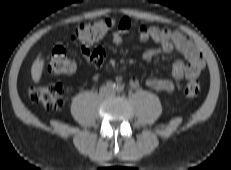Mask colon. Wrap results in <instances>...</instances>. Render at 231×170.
<instances>
[{
	"label": "colon",
	"mask_w": 231,
	"mask_h": 170,
	"mask_svg": "<svg viewBox=\"0 0 231 170\" xmlns=\"http://www.w3.org/2000/svg\"><path fill=\"white\" fill-rule=\"evenodd\" d=\"M114 22L105 18L89 21L78 26L72 33V40L81 44H89L103 38L113 27ZM76 68L75 62L68 55L63 46H56L48 64V71L53 75L72 73ZM201 92L200 84L191 80L184 88L187 97L198 96ZM29 97L33 102L39 103L48 109H61L65 105V91L61 84L33 85L29 88Z\"/></svg>",
	"instance_id": "1"
}]
</instances>
